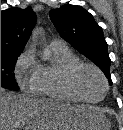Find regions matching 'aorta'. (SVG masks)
Wrapping results in <instances>:
<instances>
[{
  "mask_svg": "<svg viewBox=\"0 0 123 130\" xmlns=\"http://www.w3.org/2000/svg\"><path fill=\"white\" fill-rule=\"evenodd\" d=\"M38 33H39V30H38V29H36V30L33 31V35H34V36L38 35Z\"/></svg>",
  "mask_w": 123,
  "mask_h": 130,
  "instance_id": "762f6f07",
  "label": "aorta"
}]
</instances>
